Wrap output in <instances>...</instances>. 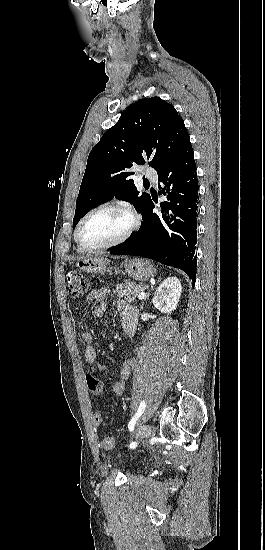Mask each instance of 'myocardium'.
Returning a JSON list of instances; mask_svg holds the SVG:
<instances>
[{"label":"myocardium","instance_id":"myocardium-1","mask_svg":"<svg viewBox=\"0 0 265 550\" xmlns=\"http://www.w3.org/2000/svg\"><path fill=\"white\" fill-rule=\"evenodd\" d=\"M103 209H115L127 214L131 219V224L129 228L126 230V232L114 241H111L106 244H99V245H93V246L85 245L80 240V237H79L81 227L89 216ZM139 226H140V217L130 206L123 203H118V202H107V203L100 204L85 213V215L80 219V221L76 226V229L74 232V240L77 243L78 247L83 251H95V250H101V249H108L127 241L135 233V231L139 228Z\"/></svg>","mask_w":265,"mask_h":550}]
</instances>
